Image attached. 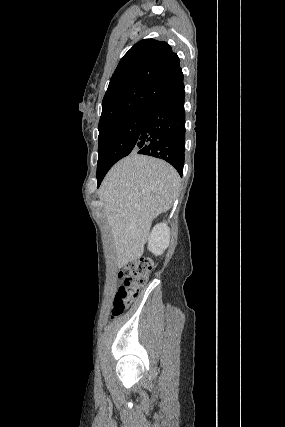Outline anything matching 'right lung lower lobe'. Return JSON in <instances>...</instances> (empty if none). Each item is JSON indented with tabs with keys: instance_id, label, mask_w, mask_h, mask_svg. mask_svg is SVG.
Here are the masks:
<instances>
[{
	"instance_id": "1",
	"label": "right lung lower lobe",
	"mask_w": 285,
	"mask_h": 427,
	"mask_svg": "<svg viewBox=\"0 0 285 427\" xmlns=\"http://www.w3.org/2000/svg\"><path fill=\"white\" fill-rule=\"evenodd\" d=\"M184 85L153 102L146 109L134 149L170 163L182 176L185 150ZM107 172L97 174L98 186Z\"/></svg>"
}]
</instances>
